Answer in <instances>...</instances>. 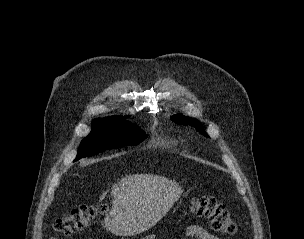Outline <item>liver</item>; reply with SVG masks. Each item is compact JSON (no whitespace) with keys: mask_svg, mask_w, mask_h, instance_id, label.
Here are the masks:
<instances>
[{"mask_svg":"<svg viewBox=\"0 0 304 239\" xmlns=\"http://www.w3.org/2000/svg\"><path fill=\"white\" fill-rule=\"evenodd\" d=\"M183 189L175 180L153 175L133 174L113 184L112 208L105 227L118 236L142 233L160 221L179 199ZM100 196V201L105 198Z\"/></svg>","mask_w":304,"mask_h":239,"instance_id":"liver-1","label":"liver"}]
</instances>
